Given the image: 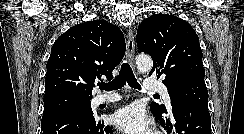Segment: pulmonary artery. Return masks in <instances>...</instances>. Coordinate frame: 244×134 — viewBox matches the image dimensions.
I'll use <instances>...</instances> for the list:
<instances>
[{"mask_svg": "<svg viewBox=\"0 0 244 134\" xmlns=\"http://www.w3.org/2000/svg\"><path fill=\"white\" fill-rule=\"evenodd\" d=\"M143 89L146 92L161 93L164 97L165 103L168 106V108L171 107V100H170V97L168 94V90H167V87L163 83L153 81V80H146L143 85ZM119 99L120 98L117 95H104V96L97 97L96 103L97 104L110 103V102L118 101Z\"/></svg>", "mask_w": 244, "mask_h": 134, "instance_id": "obj_1", "label": "pulmonary artery"}]
</instances>
